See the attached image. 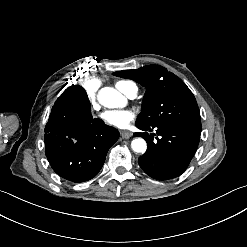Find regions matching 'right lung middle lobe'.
Returning <instances> with one entry per match:
<instances>
[{
	"label": "right lung middle lobe",
	"mask_w": 247,
	"mask_h": 247,
	"mask_svg": "<svg viewBox=\"0 0 247 247\" xmlns=\"http://www.w3.org/2000/svg\"><path fill=\"white\" fill-rule=\"evenodd\" d=\"M73 100L83 105L87 109H91V104L87 97L86 91L80 85H72L64 91Z\"/></svg>",
	"instance_id": "obj_1"
}]
</instances>
